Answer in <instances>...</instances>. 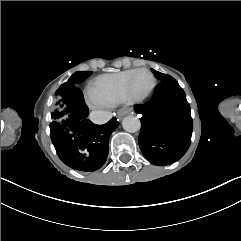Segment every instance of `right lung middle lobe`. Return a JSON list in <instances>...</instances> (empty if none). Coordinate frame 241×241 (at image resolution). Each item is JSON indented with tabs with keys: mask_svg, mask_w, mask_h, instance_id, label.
Masks as SVG:
<instances>
[{
	"mask_svg": "<svg viewBox=\"0 0 241 241\" xmlns=\"http://www.w3.org/2000/svg\"><path fill=\"white\" fill-rule=\"evenodd\" d=\"M92 74L91 71H80L74 73L60 88L55 92L52 100V114L53 121L66 119L70 114L67 91L70 86H77Z\"/></svg>",
	"mask_w": 241,
	"mask_h": 241,
	"instance_id": "obj_1",
	"label": "right lung middle lobe"
}]
</instances>
